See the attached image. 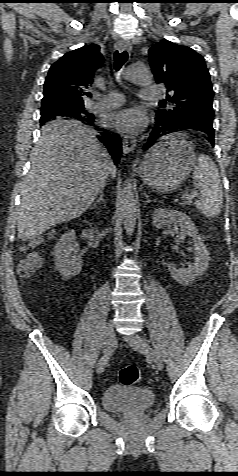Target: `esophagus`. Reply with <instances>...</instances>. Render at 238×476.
I'll return each instance as SVG.
<instances>
[{
	"instance_id": "1",
	"label": "esophagus",
	"mask_w": 238,
	"mask_h": 476,
	"mask_svg": "<svg viewBox=\"0 0 238 476\" xmlns=\"http://www.w3.org/2000/svg\"><path fill=\"white\" fill-rule=\"evenodd\" d=\"M115 48L119 52H123L125 50L130 51L131 46L128 42L125 40H120L116 43ZM136 146L135 140H129V139H124L122 143V152L123 155L129 154L131 151H133L134 147Z\"/></svg>"
}]
</instances>
